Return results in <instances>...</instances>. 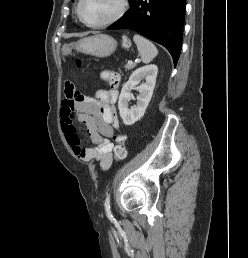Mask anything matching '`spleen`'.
<instances>
[{"label":"spleen","mask_w":248,"mask_h":258,"mask_svg":"<svg viewBox=\"0 0 248 258\" xmlns=\"http://www.w3.org/2000/svg\"><path fill=\"white\" fill-rule=\"evenodd\" d=\"M133 40L143 63H149L157 56L158 50L151 41L138 34L134 35Z\"/></svg>","instance_id":"obj_1"}]
</instances>
